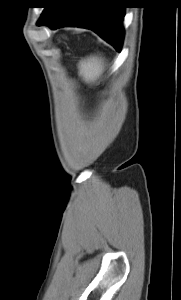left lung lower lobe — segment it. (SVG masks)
Returning <instances> with one entry per match:
<instances>
[{
	"label": "left lung lower lobe",
	"mask_w": 181,
	"mask_h": 300,
	"mask_svg": "<svg viewBox=\"0 0 181 300\" xmlns=\"http://www.w3.org/2000/svg\"><path fill=\"white\" fill-rule=\"evenodd\" d=\"M124 6L118 0H56L38 22L51 29L77 26L92 29L120 52Z\"/></svg>",
	"instance_id": "0a47b994"
}]
</instances>
